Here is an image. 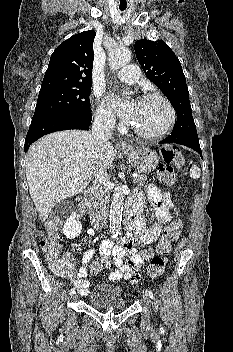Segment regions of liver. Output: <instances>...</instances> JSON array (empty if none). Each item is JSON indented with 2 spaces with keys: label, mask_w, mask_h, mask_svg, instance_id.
Segmentation results:
<instances>
[{
  "label": "liver",
  "mask_w": 233,
  "mask_h": 352,
  "mask_svg": "<svg viewBox=\"0 0 233 352\" xmlns=\"http://www.w3.org/2000/svg\"><path fill=\"white\" fill-rule=\"evenodd\" d=\"M114 159L113 145L98 149L88 131L54 132L35 142L27 153L26 177L41 221L58 202L88 186L97 163L107 170Z\"/></svg>",
  "instance_id": "6515ba94"
}]
</instances>
